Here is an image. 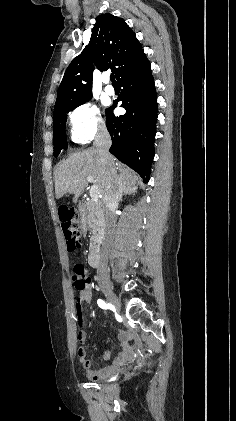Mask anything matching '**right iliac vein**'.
<instances>
[{"mask_svg": "<svg viewBox=\"0 0 236 421\" xmlns=\"http://www.w3.org/2000/svg\"><path fill=\"white\" fill-rule=\"evenodd\" d=\"M101 287L103 289V293H104L105 297L114 306V308L116 309V311L119 312L120 309H121L120 301L117 298V296L115 295V293L112 290V288L109 287L106 282H103L101 284Z\"/></svg>", "mask_w": 236, "mask_h": 421, "instance_id": "right-iliac-vein-1", "label": "right iliac vein"}]
</instances>
